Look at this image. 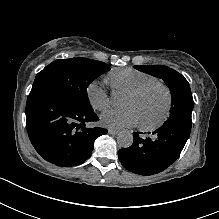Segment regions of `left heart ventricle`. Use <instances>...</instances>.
Listing matches in <instances>:
<instances>
[{"label":"left heart ventricle","instance_id":"left-heart-ventricle-1","mask_svg":"<svg viewBox=\"0 0 219 219\" xmlns=\"http://www.w3.org/2000/svg\"><path fill=\"white\" fill-rule=\"evenodd\" d=\"M167 97L162 88H152L145 93L130 97L127 95L124 107L133 108L139 115L140 122L152 125L159 122L166 109Z\"/></svg>","mask_w":219,"mask_h":219}]
</instances>
